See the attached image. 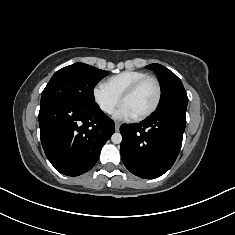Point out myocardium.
<instances>
[{
	"instance_id": "f54148a6",
	"label": "myocardium",
	"mask_w": 235,
	"mask_h": 235,
	"mask_svg": "<svg viewBox=\"0 0 235 235\" xmlns=\"http://www.w3.org/2000/svg\"><path fill=\"white\" fill-rule=\"evenodd\" d=\"M147 81H153L155 83L156 88H157V96H156V100H155L154 104L151 106V108H149L144 113L137 115L135 117L138 120H143V119L149 117L150 115H152L157 110V108L161 102L162 87H161V83L158 80V78H156L155 76L147 75V76L139 79L138 81H136L134 84H132L120 97V102L123 103V101L127 97H129V96L133 95L135 92H137V90Z\"/></svg>"
}]
</instances>
